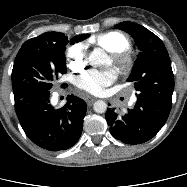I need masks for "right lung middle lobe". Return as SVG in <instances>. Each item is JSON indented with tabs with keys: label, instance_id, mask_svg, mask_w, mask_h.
<instances>
[{
	"label": "right lung middle lobe",
	"instance_id": "dd1d6c3e",
	"mask_svg": "<svg viewBox=\"0 0 187 187\" xmlns=\"http://www.w3.org/2000/svg\"><path fill=\"white\" fill-rule=\"evenodd\" d=\"M80 40H68L63 33L57 38L36 37L26 41L19 50L12 70V87L15 101L38 92L49 91L66 73V45Z\"/></svg>",
	"mask_w": 187,
	"mask_h": 187
}]
</instances>
